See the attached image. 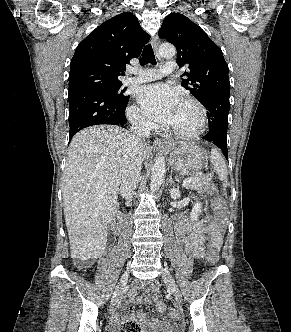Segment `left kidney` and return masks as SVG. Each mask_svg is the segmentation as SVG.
Wrapping results in <instances>:
<instances>
[{
	"label": "left kidney",
	"instance_id": "1",
	"mask_svg": "<svg viewBox=\"0 0 291 332\" xmlns=\"http://www.w3.org/2000/svg\"><path fill=\"white\" fill-rule=\"evenodd\" d=\"M170 196L172 199H177L181 196V194L178 189H171ZM201 205L202 204L199 202L194 203L193 209L190 213V218L192 219V221L196 220L197 217L199 216V213L201 212Z\"/></svg>",
	"mask_w": 291,
	"mask_h": 332
}]
</instances>
